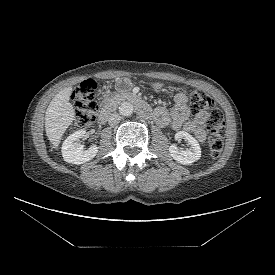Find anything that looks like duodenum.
<instances>
[{"instance_id": "duodenum-1", "label": "duodenum", "mask_w": 275, "mask_h": 275, "mask_svg": "<svg viewBox=\"0 0 275 275\" xmlns=\"http://www.w3.org/2000/svg\"><path fill=\"white\" fill-rule=\"evenodd\" d=\"M122 99L133 103L136 106L139 114L142 117L147 118L152 115V110H151L149 104L147 102H145L140 96H138L136 94L129 93V94H125ZM112 111H113L112 104H108L104 108H102L98 114L97 123L99 125L105 124L107 122L110 114L112 113Z\"/></svg>"}]
</instances>
